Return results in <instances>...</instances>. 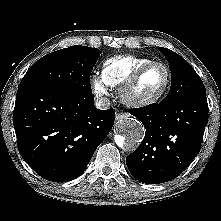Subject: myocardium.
Returning <instances> with one entry per match:
<instances>
[{"label":"myocardium","mask_w":221,"mask_h":221,"mask_svg":"<svg viewBox=\"0 0 221 221\" xmlns=\"http://www.w3.org/2000/svg\"><path fill=\"white\" fill-rule=\"evenodd\" d=\"M161 66L166 73V80L163 87L148 97H137L133 94L134 88L141 77L152 67ZM171 84L170 68L163 62L152 61L138 68L119 88V98L123 104L129 107H147L158 102L168 91Z\"/></svg>","instance_id":"f54148a6"}]
</instances>
